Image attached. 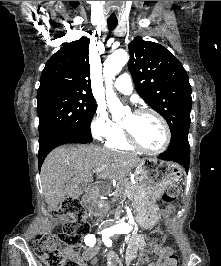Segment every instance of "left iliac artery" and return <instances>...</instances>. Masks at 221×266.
<instances>
[{
	"label": "left iliac artery",
	"instance_id": "left-iliac-artery-1",
	"mask_svg": "<svg viewBox=\"0 0 221 266\" xmlns=\"http://www.w3.org/2000/svg\"><path fill=\"white\" fill-rule=\"evenodd\" d=\"M114 234H116V233L110 232V231H106L103 233L102 240L106 246H108V247L112 246V241L109 239V237L114 235Z\"/></svg>",
	"mask_w": 221,
	"mask_h": 266
}]
</instances>
